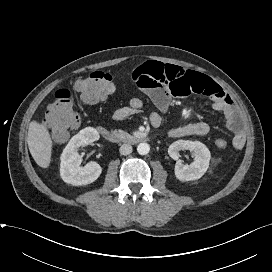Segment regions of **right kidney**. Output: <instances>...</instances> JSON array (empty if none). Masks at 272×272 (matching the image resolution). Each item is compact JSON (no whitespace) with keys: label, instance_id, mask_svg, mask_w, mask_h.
I'll list each match as a JSON object with an SVG mask.
<instances>
[{"label":"right kidney","instance_id":"right-kidney-1","mask_svg":"<svg viewBox=\"0 0 272 272\" xmlns=\"http://www.w3.org/2000/svg\"><path fill=\"white\" fill-rule=\"evenodd\" d=\"M99 133L92 127H87L74 135L64 148L60 160V175L64 182L82 186L93 183L102 172L101 166L96 162H90L81 167L82 157L78 154V148L99 140Z\"/></svg>","mask_w":272,"mask_h":272}]
</instances>
